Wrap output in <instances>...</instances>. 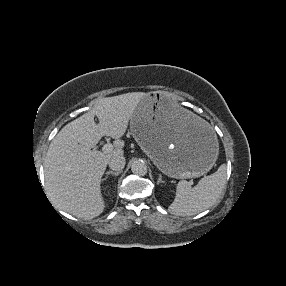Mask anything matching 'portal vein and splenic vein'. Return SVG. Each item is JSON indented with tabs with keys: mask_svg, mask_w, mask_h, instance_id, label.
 I'll use <instances>...</instances> for the list:
<instances>
[{
	"mask_svg": "<svg viewBox=\"0 0 286 286\" xmlns=\"http://www.w3.org/2000/svg\"><path fill=\"white\" fill-rule=\"evenodd\" d=\"M113 150V145L111 143H106L103 147H102V151L104 153H109Z\"/></svg>",
	"mask_w": 286,
	"mask_h": 286,
	"instance_id": "portal-vein-and-splenic-vein-1",
	"label": "portal vein and splenic vein"
}]
</instances>
